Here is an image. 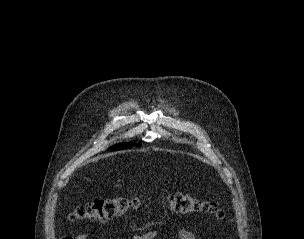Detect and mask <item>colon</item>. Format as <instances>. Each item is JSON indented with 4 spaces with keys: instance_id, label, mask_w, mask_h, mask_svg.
<instances>
[{
    "instance_id": "1",
    "label": "colon",
    "mask_w": 304,
    "mask_h": 239,
    "mask_svg": "<svg viewBox=\"0 0 304 239\" xmlns=\"http://www.w3.org/2000/svg\"><path fill=\"white\" fill-rule=\"evenodd\" d=\"M170 208L180 214L210 213L218 219L225 220L224 212L216 204L201 200L184 193H171L167 196ZM139 206L134 198L111 197L97 199L77 207L70 215L71 220L102 222L120 217Z\"/></svg>"
}]
</instances>
